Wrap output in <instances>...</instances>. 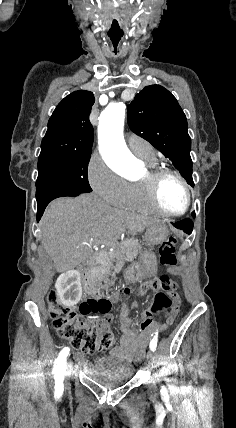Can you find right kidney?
I'll return each mask as SVG.
<instances>
[{
    "instance_id": "obj_1",
    "label": "right kidney",
    "mask_w": 236,
    "mask_h": 428,
    "mask_svg": "<svg viewBox=\"0 0 236 428\" xmlns=\"http://www.w3.org/2000/svg\"><path fill=\"white\" fill-rule=\"evenodd\" d=\"M56 282L57 294L64 306H75L81 300L80 274L75 269H66ZM67 292H72L67 293Z\"/></svg>"
}]
</instances>
